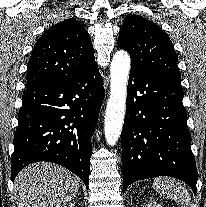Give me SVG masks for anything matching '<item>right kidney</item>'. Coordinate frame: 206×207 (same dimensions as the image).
Returning a JSON list of instances; mask_svg holds the SVG:
<instances>
[{"label":"right kidney","instance_id":"ca27d5eb","mask_svg":"<svg viewBox=\"0 0 206 207\" xmlns=\"http://www.w3.org/2000/svg\"><path fill=\"white\" fill-rule=\"evenodd\" d=\"M65 207H75V205L73 203H70L69 205H67Z\"/></svg>","mask_w":206,"mask_h":207}]
</instances>
